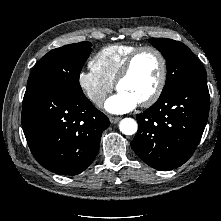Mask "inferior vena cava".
<instances>
[{"label":"inferior vena cava","instance_id":"602c4592","mask_svg":"<svg viewBox=\"0 0 221 221\" xmlns=\"http://www.w3.org/2000/svg\"><path fill=\"white\" fill-rule=\"evenodd\" d=\"M106 98V95L105 94H100V95H97L93 98V101L96 102L97 104H100L102 103Z\"/></svg>","mask_w":221,"mask_h":221}]
</instances>
